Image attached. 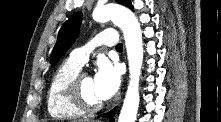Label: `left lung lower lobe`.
<instances>
[{"label": "left lung lower lobe", "instance_id": "0a47b994", "mask_svg": "<svg viewBox=\"0 0 221 122\" xmlns=\"http://www.w3.org/2000/svg\"><path fill=\"white\" fill-rule=\"evenodd\" d=\"M116 113V107L112 109L111 111L107 112L106 114L102 115L104 118H111L115 115Z\"/></svg>", "mask_w": 221, "mask_h": 122}]
</instances>
